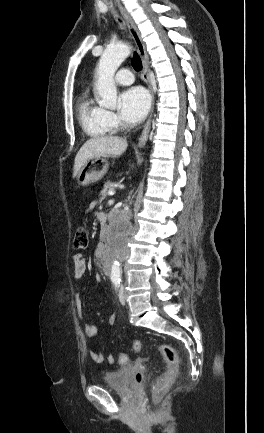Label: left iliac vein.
<instances>
[{"label":"left iliac vein","instance_id":"1","mask_svg":"<svg viewBox=\"0 0 264 433\" xmlns=\"http://www.w3.org/2000/svg\"><path fill=\"white\" fill-rule=\"evenodd\" d=\"M119 300H120L121 304H125L126 303V297H125V294H124V288H123V286L120 287Z\"/></svg>","mask_w":264,"mask_h":433}]
</instances>
